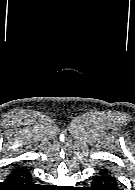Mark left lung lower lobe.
<instances>
[{
    "instance_id": "1",
    "label": "left lung lower lobe",
    "mask_w": 135,
    "mask_h": 190,
    "mask_svg": "<svg viewBox=\"0 0 135 190\" xmlns=\"http://www.w3.org/2000/svg\"><path fill=\"white\" fill-rule=\"evenodd\" d=\"M95 188L92 190H121L117 187L114 177L109 171H101L99 175L93 177Z\"/></svg>"
}]
</instances>
